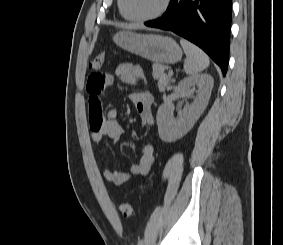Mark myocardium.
I'll list each match as a JSON object with an SVG mask.
<instances>
[{"mask_svg": "<svg viewBox=\"0 0 283 245\" xmlns=\"http://www.w3.org/2000/svg\"><path fill=\"white\" fill-rule=\"evenodd\" d=\"M125 2H126L125 0H120L121 11H122L123 17L133 22H148V21L158 19L159 17H161L162 15L166 13V11L168 10L171 4V0H163L161 7L154 14L146 16V17H133L127 13Z\"/></svg>", "mask_w": 283, "mask_h": 245, "instance_id": "1", "label": "myocardium"}]
</instances>
